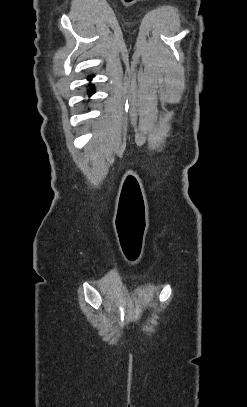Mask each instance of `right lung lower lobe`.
<instances>
[{"label": "right lung lower lobe", "mask_w": 247, "mask_h": 407, "mask_svg": "<svg viewBox=\"0 0 247 407\" xmlns=\"http://www.w3.org/2000/svg\"><path fill=\"white\" fill-rule=\"evenodd\" d=\"M93 76H89L88 79H91ZM94 93V86L92 85V87L88 90V94L89 96H91Z\"/></svg>", "instance_id": "98d812e1"}]
</instances>
